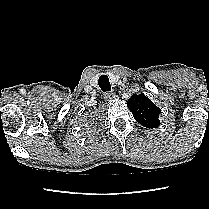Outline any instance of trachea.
<instances>
[{
	"label": "trachea",
	"instance_id": "1",
	"mask_svg": "<svg viewBox=\"0 0 209 209\" xmlns=\"http://www.w3.org/2000/svg\"><path fill=\"white\" fill-rule=\"evenodd\" d=\"M98 85L103 92L111 91L110 81L107 75H101L98 79Z\"/></svg>",
	"mask_w": 209,
	"mask_h": 209
}]
</instances>
